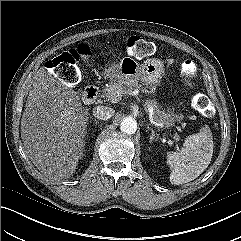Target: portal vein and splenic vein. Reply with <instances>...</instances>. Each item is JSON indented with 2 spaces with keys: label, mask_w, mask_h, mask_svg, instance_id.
<instances>
[{
  "label": "portal vein and splenic vein",
  "mask_w": 241,
  "mask_h": 241,
  "mask_svg": "<svg viewBox=\"0 0 241 241\" xmlns=\"http://www.w3.org/2000/svg\"><path fill=\"white\" fill-rule=\"evenodd\" d=\"M120 96V92H117V97ZM116 100H112V102H115ZM152 114V113H151Z\"/></svg>",
  "instance_id": "1"
}]
</instances>
